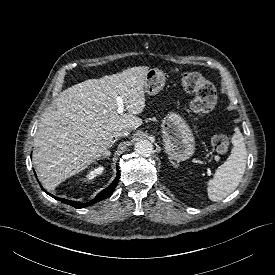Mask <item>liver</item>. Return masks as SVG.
<instances>
[{
	"instance_id": "liver-1",
	"label": "liver",
	"mask_w": 275,
	"mask_h": 275,
	"mask_svg": "<svg viewBox=\"0 0 275 275\" xmlns=\"http://www.w3.org/2000/svg\"><path fill=\"white\" fill-rule=\"evenodd\" d=\"M148 70L132 67L86 80L59 94L55 107L42 114L34 138L33 164L46 189L53 190L102 156L115 132L141 126L136 115L145 107ZM117 96L128 113L117 112Z\"/></svg>"
}]
</instances>
